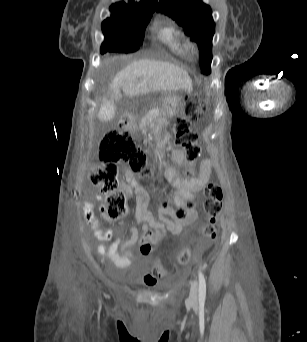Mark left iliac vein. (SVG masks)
<instances>
[{"instance_id":"1","label":"left iliac vein","mask_w":307,"mask_h":342,"mask_svg":"<svg viewBox=\"0 0 307 342\" xmlns=\"http://www.w3.org/2000/svg\"><path fill=\"white\" fill-rule=\"evenodd\" d=\"M197 296H198V288H197V284L194 282L191 286L189 300L192 303H197Z\"/></svg>"}]
</instances>
